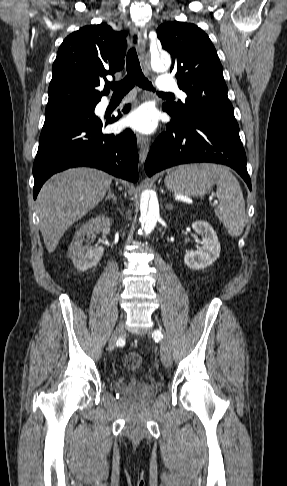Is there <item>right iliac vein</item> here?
<instances>
[{
  "label": "right iliac vein",
  "instance_id": "1",
  "mask_svg": "<svg viewBox=\"0 0 287 486\" xmlns=\"http://www.w3.org/2000/svg\"><path fill=\"white\" fill-rule=\"evenodd\" d=\"M123 332H124V325H123V322L121 321L118 326L115 328L111 338H110V341H109V352H111L115 345H116V342L117 340L123 335Z\"/></svg>",
  "mask_w": 287,
  "mask_h": 486
}]
</instances>
